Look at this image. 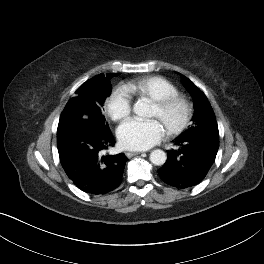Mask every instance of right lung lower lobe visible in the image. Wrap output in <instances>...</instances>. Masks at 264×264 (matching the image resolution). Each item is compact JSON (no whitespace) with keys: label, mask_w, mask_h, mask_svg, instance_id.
Masks as SVG:
<instances>
[{"label":"right lung lower lobe","mask_w":264,"mask_h":264,"mask_svg":"<svg viewBox=\"0 0 264 264\" xmlns=\"http://www.w3.org/2000/svg\"><path fill=\"white\" fill-rule=\"evenodd\" d=\"M57 138L61 165L67 176L82 191L106 194L122 180L127 158L110 154L115 139L109 129L89 123Z\"/></svg>","instance_id":"obj_1"}]
</instances>
